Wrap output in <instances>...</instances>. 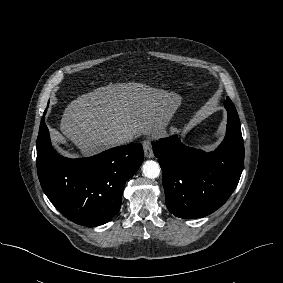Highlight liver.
I'll return each instance as SVG.
<instances>
[{
  "mask_svg": "<svg viewBox=\"0 0 283 283\" xmlns=\"http://www.w3.org/2000/svg\"><path fill=\"white\" fill-rule=\"evenodd\" d=\"M181 105V96L142 83L109 84L79 96L64 110L58 136L83 156L115 146L120 134L161 136Z\"/></svg>",
  "mask_w": 283,
  "mask_h": 283,
  "instance_id": "6515ba94",
  "label": "liver"
}]
</instances>
